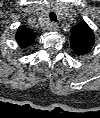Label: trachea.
<instances>
[{
	"instance_id": "3493384b",
	"label": "trachea",
	"mask_w": 100,
	"mask_h": 118,
	"mask_svg": "<svg viewBox=\"0 0 100 118\" xmlns=\"http://www.w3.org/2000/svg\"><path fill=\"white\" fill-rule=\"evenodd\" d=\"M49 17H50V20H51L52 22H55L56 19H57L56 14H55L54 12H51V13L49 14Z\"/></svg>"
}]
</instances>
